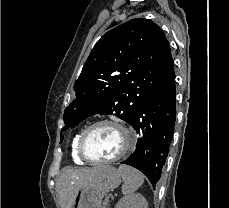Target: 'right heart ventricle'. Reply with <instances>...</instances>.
<instances>
[{
	"label": "right heart ventricle",
	"mask_w": 229,
	"mask_h": 208,
	"mask_svg": "<svg viewBox=\"0 0 229 208\" xmlns=\"http://www.w3.org/2000/svg\"><path fill=\"white\" fill-rule=\"evenodd\" d=\"M83 130L84 129L77 131L71 139V145H70L71 158L72 161L77 165H85L88 163V161H86L84 158L78 157V154L80 153L78 148V143Z\"/></svg>",
	"instance_id": "1"
}]
</instances>
